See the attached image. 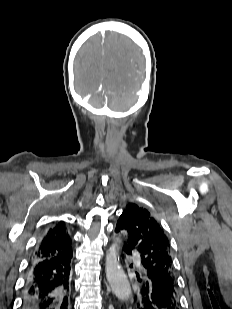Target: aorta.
Masks as SVG:
<instances>
[{
	"instance_id": "aorta-1",
	"label": "aorta",
	"mask_w": 232,
	"mask_h": 309,
	"mask_svg": "<svg viewBox=\"0 0 232 309\" xmlns=\"http://www.w3.org/2000/svg\"><path fill=\"white\" fill-rule=\"evenodd\" d=\"M105 271L113 293L120 300H127L131 295L130 283L122 270L117 255V244H113L106 256Z\"/></svg>"
}]
</instances>
